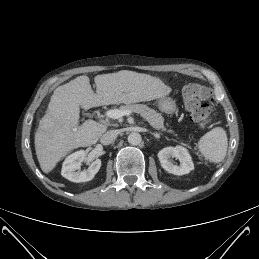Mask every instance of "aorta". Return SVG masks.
Segmentation results:
<instances>
[{
  "instance_id": "aorta-1",
  "label": "aorta",
  "mask_w": 259,
  "mask_h": 259,
  "mask_svg": "<svg viewBox=\"0 0 259 259\" xmlns=\"http://www.w3.org/2000/svg\"><path fill=\"white\" fill-rule=\"evenodd\" d=\"M142 141V137L139 133L137 132H132L128 135V142L133 145V146H136V145H139Z\"/></svg>"
}]
</instances>
